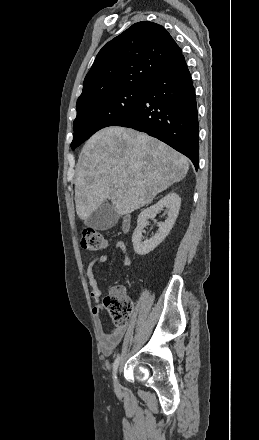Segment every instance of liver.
Returning a JSON list of instances; mask_svg holds the SVG:
<instances>
[{
    "instance_id": "obj_1",
    "label": "liver",
    "mask_w": 259,
    "mask_h": 440,
    "mask_svg": "<svg viewBox=\"0 0 259 440\" xmlns=\"http://www.w3.org/2000/svg\"><path fill=\"white\" fill-rule=\"evenodd\" d=\"M188 169V159L160 140L106 127L85 143L76 166L77 215L87 219L107 199L119 215L132 213L181 181Z\"/></svg>"
}]
</instances>
